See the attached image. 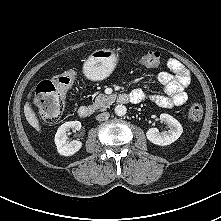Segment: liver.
Returning <instances> with one entry per match:
<instances>
[{"instance_id": "1", "label": "liver", "mask_w": 221, "mask_h": 221, "mask_svg": "<svg viewBox=\"0 0 221 221\" xmlns=\"http://www.w3.org/2000/svg\"><path fill=\"white\" fill-rule=\"evenodd\" d=\"M31 94H29V98H30ZM24 114L25 117L28 121V123L35 128L38 132H40V125H39V120L36 117L35 112L33 111V109L31 108V105L29 102H27L24 106Z\"/></svg>"}]
</instances>
